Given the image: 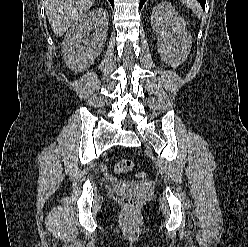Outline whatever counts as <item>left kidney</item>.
<instances>
[{
    "label": "left kidney",
    "instance_id": "5707ae66",
    "mask_svg": "<svg viewBox=\"0 0 248 247\" xmlns=\"http://www.w3.org/2000/svg\"><path fill=\"white\" fill-rule=\"evenodd\" d=\"M151 25L158 38V53L162 61L174 68L185 62L192 36L176 9L167 2L156 5L152 11Z\"/></svg>",
    "mask_w": 248,
    "mask_h": 247
}]
</instances>
